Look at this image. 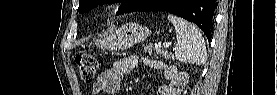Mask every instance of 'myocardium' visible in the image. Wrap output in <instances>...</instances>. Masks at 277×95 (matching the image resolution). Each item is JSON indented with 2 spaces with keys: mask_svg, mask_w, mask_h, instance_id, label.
<instances>
[{
  "mask_svg": "<svg viewBox=\"0 0 277 95\" xmlns=\"http://www.w3.org/2000/svg\"><path fill=\"white\" fill-rule=\"evenodd\" d=\"M119 6L116 4H110L108 7L104 10V14L107 16L112 15L118 10Z\"/></svg>",
  "mask_w": 277,
  "mask_h": 95,
  "instance_id": "1",
  "label": "myocardium"
}]
</instances>
